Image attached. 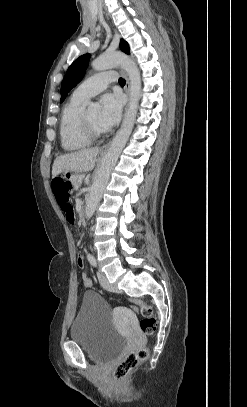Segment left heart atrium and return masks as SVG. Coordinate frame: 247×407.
I'll return each instance as SVG.
<instances>
[{"label": "left heart atrium", "mask_w": 247, "mask_h": 407, "mask_svg": "<svg viewBox=\"0 0 247 407\" xmlns=\"http://www.w3.org/2000/svg\"><path fill=\"white\" fill-rule=\"evenodd\" d=\"M122 106V97L117 93L105 94L101 98L99 123L104 129L112 127L119 121L122 112Z\"/></svg>", "instance_id": "1"}]
</instances>
